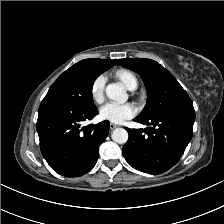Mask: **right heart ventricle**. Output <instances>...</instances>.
<instances>
[{
  "label": "right heart ventricle",
  "mask_w": 224,
  "mask_h": 224,
  "mask_svg": "<svg viewBox=\"0 0 224 224\" xmlns=\"http://www.w3.org/2000/svg\"><path fill=\"white\" fill-rule=\"evenodd\" d=\"M115 76L130 90L135 89L138 85L137 77L129 70L119 69L115 72Z\"/></svg>",
  "instance_id": "e07e8e85"
}]
</instances>
